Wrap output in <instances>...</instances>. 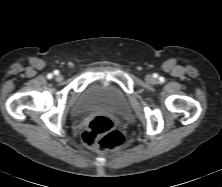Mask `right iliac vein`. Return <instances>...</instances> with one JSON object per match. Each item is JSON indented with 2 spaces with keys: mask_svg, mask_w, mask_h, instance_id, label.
I'll return each mask as SVG.
<instances>
[{
  "mask_svg": "<svg viewBox=\"0 0 222 187\" xmlns=\"http://www.w3.org/2000/svg\"><path fill=\"white\" fill-rule=\"evenodd\" d=\"M62 79H63L62 75L58 74V75L56 76V80H57V81H62Z\"/></svg>",
  "mask_w": 222,
  "mask_h": 187,
  "instance_id": "63e3f726",
  "label": "right iliac vein"
}]
</instances>
